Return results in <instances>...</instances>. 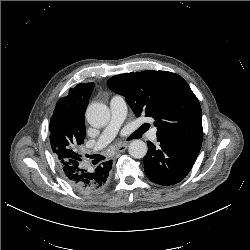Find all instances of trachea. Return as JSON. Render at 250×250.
<instances>
[{
	"label": "trachea",
	"mask_w": 250,
	"mask_h": 250,
	"mask_svg": "<svg viewBox=\"0 0 250 250\" xmlns=\"http://www.w3.org/2000/svg\"><path fill=\"white\" fill-rule=\"evenodd\" d=\"M149 128V125L148 124H144L141 128H140V132L143 133L145 132L146 130H148Z\"/></svg>",
	"instance_id": "trachea-1"
}]
</instances>
